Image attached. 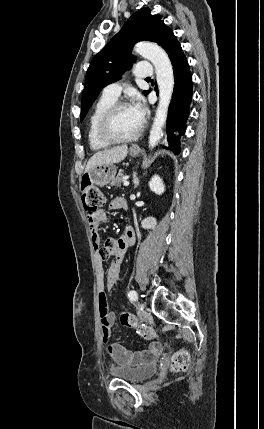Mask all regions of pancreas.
<instances>
[{"label": "pancreas", "instance_id": "cf45deb5", "mask_svg": "<svg viewBox=\"0 0 264 429\" xmlns=\"http://www.w3.org/2000/svg\"><path fill=\"white\" fill-rule=\"evenodd\" d=\"M122 182H124V174L123 171H119L118 175L111 180L110 185L120 188Z\"/></svg>", "mask_w": 264, "mask_h": 429}]
</instances>
